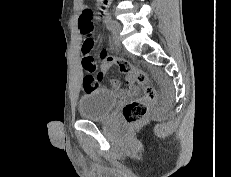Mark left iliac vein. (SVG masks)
<instances>
[{
    "mask_svg": "<svg viewBox=\"0 0 231 177\" xmlns=\"http://www.w3.org/2000/svg\"><path fill=\"white\" fill-rule=\"evenodd\" d=\"M111 36L114 44H120V32H121V25L117 21H112L111 24Z\"/></svg>",
    "mask_w": 231,
    "mask_h": 177,
    "instance_id": "obj_1",
    "label": "left iliac vein"
}]
</instances>
